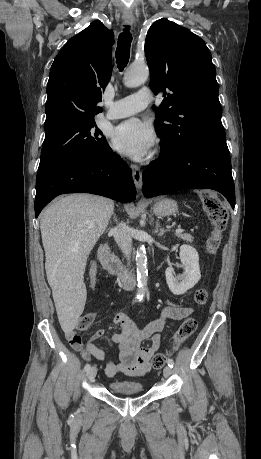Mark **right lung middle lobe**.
Segmentation results:
<instances>
[{
	"label": "right lung middle lobe",
	"mask_w": 261,
	"mask_h": 459,
	"mask_svg": "<svg viewBox=\"0 0 261 459\" xmlns=\"http://www.w3.org/2000/svg\"><path fill=\"white\" fill-rule=\"evenodd\" d=\"M44 129L37 177L65 162L100 156L109 146L94 120L65 122Z\"/></svg>",
	"instance_id": "right-lung-middle-lobe-1"
}]
</instances>
